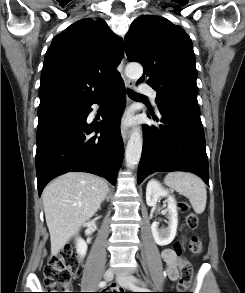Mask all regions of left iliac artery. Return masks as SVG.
<instances>
[{"mask_svg": "<svg viewBox=\"0 0 245 293\" xmlns=\"http://www.w3.org/2000/svg\"><path fill=\"white\" fill-rule=\"evenodd\" d=\"M131 289L138 291V290H142L143 288H139V287H136L135 285H131Z\"/></svg>", "mask_w": 245, "mask_h": 293, "instance_id": "44dca946", "label": "left iliac artery"}]
</instances>
